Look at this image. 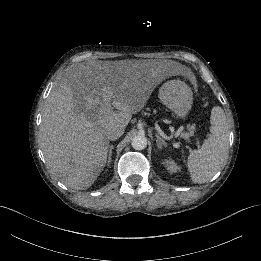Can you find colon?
<instances>
[{
    "label": "colon",
    "mask_w": 261,
    "mask_h": 261,
    "mask_svg": "<svg viewBox=\"0 0 261 261\" xmlns=\"http://www.w3.org/2000/svg\"><path fill=\"white\" fill-rule=\"evenodd\" d=\"M199 119L200 121H204L206 119V115L204 113H201Z\"/></svg>",
    "instance_id": "obj_1"
}]
</instances>
